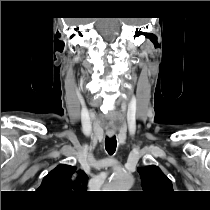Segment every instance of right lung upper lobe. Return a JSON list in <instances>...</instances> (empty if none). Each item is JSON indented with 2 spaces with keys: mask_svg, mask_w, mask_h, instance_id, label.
<instances>
[{
  "mask_svg": "<svg viewBox=\"0 0 210 210\" xmlns=\"http://www.w3.org/2000/svg\"><path fill=\"white\" fill-rule=\"evenodd\" d=\"M75 173L77 176L73 178ZM87 182L84 171H76V167L61 164L44 177L38 191L56 201H68L83 192Z\"/></svg>",
  "mask_w": 210,
  "mask_h": 210,
  "instance_id": "cb5924a9",
  "label": "right lung upper lobe"
}]
</instances>
